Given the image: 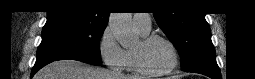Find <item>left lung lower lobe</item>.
I'll return each mask as SVG.
<instances>
[{
    "label": "left lung lower lobe",
    "mask_w": 255,
    "mask_h": 79,
    "mask_svg": "<svg viewBox=\"0 0 255 79\" xmlns=\"http://www.w3.org/2000/svg\"><path fill=\"white\" fill-rule=\"evenodd\" d=\"M186 72H194L206 75L212 79H221V73L219 67H201Z\"/></svg>",
    "instance_id": "1"
}]
</instances>
